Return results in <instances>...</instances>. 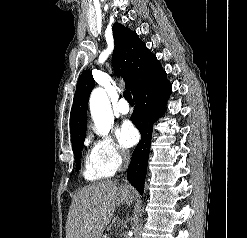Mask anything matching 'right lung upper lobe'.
Wrapping results in <instances>:
<instances>
[{
  "label": "right lung upper lobe",
  "mask_w": 247,
  "mask_h": 238,
  "mask_svg": "<svg viewBox=\"0 0 247 238\" xmlns=\"http://www.w3.org/2000/svg\"><path fill=\"white\" fill-rule=\"evenodd\" d=\"M113 36L115 42L113 67L117 76H121L126 82L125 87L135 95L162 71V66L134 31L115 23ZM94 85L91 72L84 71L77 82L70 114L72 144L85 138L87 104Z\"/></svg>",
  "instance_id": "obj_1"
}]
</instances>
